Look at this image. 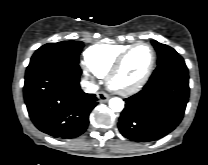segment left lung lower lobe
<instances>
[{"label":"left lung lower lobe","mask_w":208,"mask_h":165,"mask_svg":"<svg viewBox=\"0 0 208 165\" xmlns=\"http://www.w3.org/2000/svg\"><path fill=\"white\" fill-rule=\"evenodd\" d=\"M189 90L188 68L180 55L159 63L143 89L124 99L121 134L137 142L164 137L181 122Z\"/></svg>","instance_id":"0a47b994"}]
</instances>
